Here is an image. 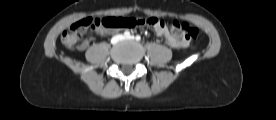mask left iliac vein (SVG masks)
I'll list each match as a JSON object with an SVG mask.
<instances>
[{
	"label": "left iliac vein",
	"instance_id": "obj_1",
	"mask_svg": "<svg viewBox=\"0 0 276 120\" xmlns=\"http://www.w3.org/2000/svg\"><path fill=\"white\" fill-rule=\"evenodd\" d=\"M127 39L134 40V36H130Z\"/></svg>",
	"mask_w": 276,
	"mask_h": 120
}]
</instances>
